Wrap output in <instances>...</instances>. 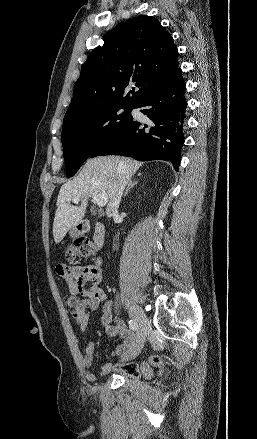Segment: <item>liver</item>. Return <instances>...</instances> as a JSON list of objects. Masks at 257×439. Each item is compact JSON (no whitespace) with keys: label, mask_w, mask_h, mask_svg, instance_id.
<instances>
[{"label":"liver","mask_w":257,"mask_h":439,"mask_svg":"<svg viewBox=\"0 0 257 439\" xmlns=\"http://www.w3.org/2000/svg\"><path fill=\"white\" fill-rule=\"evenodd\" d=\"M142 163L115 156L88 159L76 178L64 183L57 198V210L53 222V237L61 242L66 233L79 224L85 216L88 197L93 193L114 194L123 180H130ZM75 197L80 206L71 204Z\"/></svg>","instance_id":"liver-1"}]
</instances>
